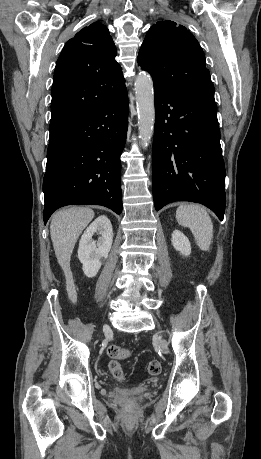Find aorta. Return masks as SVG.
I'll return each instance as SVG.
<instances>
[{"instance_id":"obj_1","label":"aorta","mask_w":261,"mask_h":459,"mask_svg":"<svg viewBox=\"0 0 261 459\" xmlns=\"http://www.w3.org/2000/svg\"><path fill=\"white\" fill-rule=\"evenodd\" d=\"M139 139L143 149L149 146L154 130L155 107L153 81L149 74L139 73L135 80Z\"/></svg>"}]
</instances>
